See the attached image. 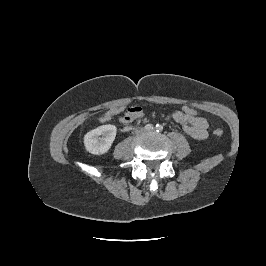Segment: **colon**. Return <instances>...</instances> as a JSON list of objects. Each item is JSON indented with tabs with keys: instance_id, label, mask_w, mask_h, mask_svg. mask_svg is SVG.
I'll return each instance as SVG.
<instances>
[{
	"instance_id": "5ec220e1",
	"label": "colon",
	"mask_w": 266,
	"mask_h": 266,
	"mask_svg": "<svg viewBox=\"0 0 266 266\" xmlns=\"http://www.w3.org/2000/svg\"><path fill=\"white\" fill-rule=\"evenodd\" d=\"M184 115L188 116V117H200L198 110L193 107V106H188L185 105L181 108L180 110ZM131 118V110L128 109L126 110L121 116H120V120L122 122H127L129 119ZM214 134L216 136H221L223 134V130L222 129H215L214 130Z\"/></svg>"
}]
</instances>
